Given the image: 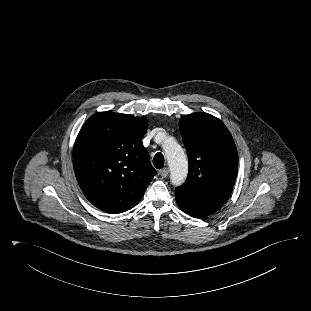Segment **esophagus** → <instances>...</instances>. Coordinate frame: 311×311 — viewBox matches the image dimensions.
I'll return each mask as SVG.
<instances>
[{"mask_svg": "<svg viewBox=\"0 0 311 311\" xmlns=\"http://www.w3.org/2000/svg\"><path fill=\"white\" fill-rule=\"evenodd\" d=\"M159 174L163 177L166 178L169 175V169L168 168H163L159 171Z\"/></svg>", "mask_w": 311, "mask_h": 311, "instance_id": "34e87169", "label": "esophagus"}]
</instances>
